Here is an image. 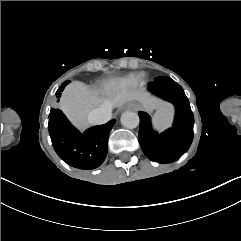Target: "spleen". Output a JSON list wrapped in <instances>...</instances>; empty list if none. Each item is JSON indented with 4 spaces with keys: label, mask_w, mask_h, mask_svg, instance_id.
<instances>
[{
    "label": "spleen",
    "mask_w": 241,
    "mask_h": 241,
    "mask_svg": "<svg viewBox=\"0 0 241 241\" xmlns=\"http://www.w3.org/2000/svg\"><path fill=\"white\" fill-rule=\"evenodd\" d=\"M155 123L160 129H164L169 126L171 115L168 110H158L155 114Z\"/></svg>",
    "instance_id": "obj_1"
}]
</instances>
